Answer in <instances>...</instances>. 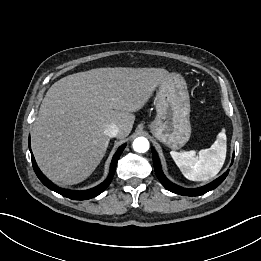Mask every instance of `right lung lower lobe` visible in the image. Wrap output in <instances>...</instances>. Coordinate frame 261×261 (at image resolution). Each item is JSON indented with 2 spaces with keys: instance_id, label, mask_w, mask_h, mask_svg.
Here are the masks:
<instances>
[{
  "instance_id": "1",
  "label": "right lung lower lobe",
  "mask_w": 261,
  "mask_h": 261,
  "mask_svg": "<svg viewBox=\"0 0 261 261\" xmlns=\"http://www.w3.org/2000/svg\"><path fill=\"white\" fill-rule=\"evenodd\" d=\"M125 146H126V144H123L122 146H120L119 149L117 150V152L115 153V155L112 159V162H111L110 173L108 175V178L103 183H101L100 185H98V186H96L92 189H89V190L73 191V190L63 189V188H60V187L54 185L40 171V169L38 168V166L36 164V161L34 159L33 154L31 155L32 156V165H33V169H34L37 177L39 178V180L49 189L59 193L62 196H65V197L73 199V200H86V199L93 198V197L99 195L100 193H102L108 187V185L111 183L112 178H113L114 173H115L117 161H118L121 153L123 152ZM29 148H30V151H31L30 141H29Z\"/></svg>"
}]
</instances>
